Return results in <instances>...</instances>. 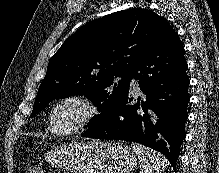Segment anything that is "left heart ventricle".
<instances>
[{
  "instance_id": "left-heart-ventricle-1",
  "label": "left heart ventricle",
  "mask_w": 219,
  "mask_h": 173,
  "mask_svg": "<svg viewBox=\"0 0 219 173\" xmlns=\"http://www.w3.org/2000/svg\"><path fill=\"white\" fill-rule=\"evenodd\" d=\"M80 115V109L77 105L67 103L60 106L54 115V120L59 131H65L71 128Z\"/></svg>"
}]
</instances>
